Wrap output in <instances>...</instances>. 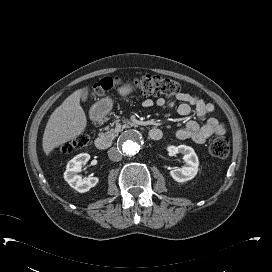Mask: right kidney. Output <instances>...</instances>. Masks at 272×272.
<instances>
[{
  "label": "right kidney",
  "mask_w": 272,
  "mask_h": 272,
  "mask_svg": "<svg viewBox=\"0 0 272 272\" xmlns=\"http://www.w3.org/2000/svg\"><path fill=\"white\" fill-rule=\"evenodd\" d=\"M90 159V155L82 153L71 159L64 172L65 181L80 193H85L94 187L98 182V177L82 178L77 173L81 171L82 165L86 164Z\"/></svg>",
  "instance_id": "1"
}]
</instances>
